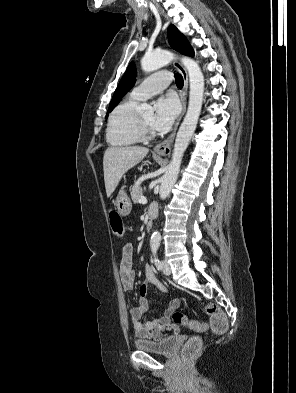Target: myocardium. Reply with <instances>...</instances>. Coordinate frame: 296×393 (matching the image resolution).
Returning a JSON list of instances; mask_svg holds the SVG:
<instances>
[{"instance_id": "myocardium-1", "label": "myocardium", "mask_w": 296, "mask_h": 393, "mask_svg": "<svg viewBox=\"0 0 296 393\" xmlns=\"http://www.w3.org/2000/svg\"><path fill=\"white\" fill-rule=\"evenodd\" d=\"M138 130L142 140H149L154 136V132L151 126L146 124L139 116H138Z\"/></svg>"}]
</instances>
